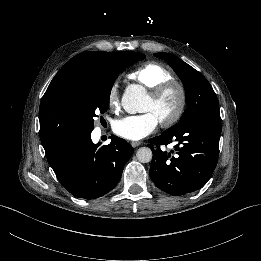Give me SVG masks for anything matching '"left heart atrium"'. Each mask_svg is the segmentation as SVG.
Wrapping results in <instances>:
<instances>
[{"instance_id":"39dd6f15","label":"left heart atrium","mask_w":261,"mask_h":261,"mask_svg":"<svg viewBox=\"0 0 261 261\" xmlns=\"http://www.w3.org/2000/svg\"><path fill=\"white\" fill-rule=\"evenodd\" d=\"M158 124L159 119L156 115L147 111L117 120L113 125V132L123 139L139 141L154 132Z\"/></svg>"}]
</instances>
